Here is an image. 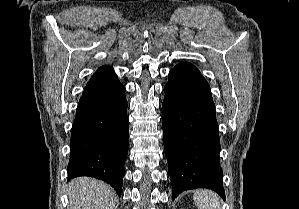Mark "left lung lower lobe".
Here are the masks:
<instances>
[{
	"instance_id": "left-lung-lower-lobe-1",
	"label": "left lung lower lobe",
	"mask_w": 299,
	"mask_h": 209,
	"mask_svg": "<svg viewBox=\"0 0 299 209\" xmlns=\"http://www.w3.org/2000/svg\"><path fill=\"white\" fill-rule=\"evenodd\" d=\"M163 140L172 181V198L209 188L225 199L219 163L220 141L210 86L188 62L169 73L164 87Z\"/></svg>"
}]
</instances>
